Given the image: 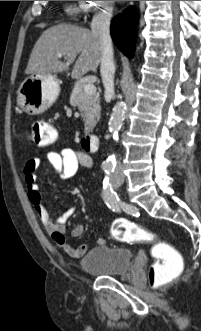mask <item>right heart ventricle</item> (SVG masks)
Listing matches in <instances>:
<instances>
[{"label":"right heart ventricle","instance_id":"1","mask_svg":"<svg viewBox=\"0 0 201 331\" xmlns=\"http://www.w3.org/2000/svg\"><path fill=\"white\" fill-rule=\"evenodd\" d=\"M68 11L70 13H75L76 12V8L75 7H71V8L68 9Z\"/></svg>","mask_w":201,"mask_h":331}]
</instances>
